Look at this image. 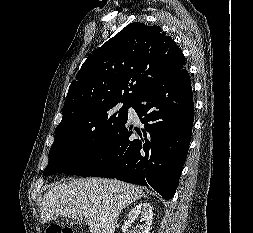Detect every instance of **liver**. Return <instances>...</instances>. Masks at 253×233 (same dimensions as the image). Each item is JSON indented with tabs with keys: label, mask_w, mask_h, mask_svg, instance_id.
<instances>
[{
	"label": "liver",
	"mask_w": 253,
	"mask_h": 233,
	"mask_svg": "<svg viewBox=\"0 0 253 233\" xmlns=\"http://www.w3.org/2000/svg\"><path fill=\"white\" fill-rule=\"evenodd\" d=\"M143 195L142 188L115 179H66L44 195L40 220L84 217L91 233H114L122 209Z\"/></svg>",
	"instance_id": "liver-1"
}]
</instances>
